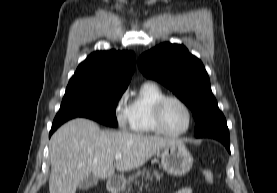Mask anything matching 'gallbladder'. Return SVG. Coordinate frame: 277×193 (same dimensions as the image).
Segmentation results:
<instances>
[{
    "instance_id": "obj_1",
    "label": "gallbladder",
    "mask_w": 277,
    "mask_h": 193,
    "mask_svg": "<svg viewBox=\"0 0 277 193\" xmlns=\"http://www.w3.org/2000/svg\"><path fill=\"white\" fill-rule=\"evenodd\" d=\"M98 183V179L94 176H89L88 178L84 179L80 184L78 185V188L80 190H88L93 187H95Z\"/></svg>"
}]
</instances>
